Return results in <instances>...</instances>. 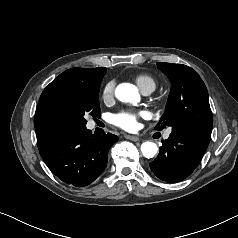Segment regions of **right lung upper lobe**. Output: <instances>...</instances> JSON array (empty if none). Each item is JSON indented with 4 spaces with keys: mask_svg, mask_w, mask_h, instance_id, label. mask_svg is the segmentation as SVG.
Masks as SVG:
<instances>
[{
    "mask_svg": "<svg viewBox=\"0 0 238 238\" xmlns=\"http://www.w3.org/2000/svg\"><path fill=\"white\" fill-rule=\"evenodd\" d=\"M94 81V68H72L60 74L42 92L35 112L34 126L37 137L62 128V88L72 82Z\"/></svg>",
    "mask_w": 238,
    "mask_h": 238,
    "instance_id": "right-lung-upper-lobe-1",
    "label": "right lung upper lobe"
}]
</instances>
